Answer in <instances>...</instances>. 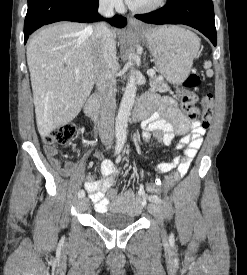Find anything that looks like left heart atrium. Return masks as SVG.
<instances>
[{
	"instance_id": "1",
	"label": "left heart atrium",
	"mask_w": 247,
	"mask_h": 275,
	"mask_svg": "<svg viewBox=\"0 0 247 275\" xmlns=\"http://www.w3.org/2000/svg\"><path fill=\"white\" fill-rule=\"evenodd\" d=\"M134 0H126L127 3L132 4Z\"/></svg>"
}]
</instances>
